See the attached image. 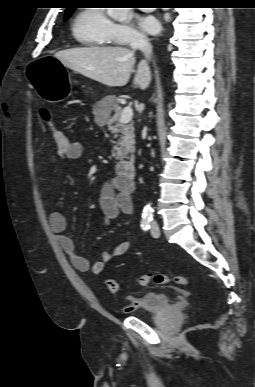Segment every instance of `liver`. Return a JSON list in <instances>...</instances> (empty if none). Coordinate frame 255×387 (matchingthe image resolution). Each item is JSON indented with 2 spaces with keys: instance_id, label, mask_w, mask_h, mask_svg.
Returning a JSON list of instances; mask_svg holds the SVG:
<instances>
[{
  "instance_id": "6515ba94",
  "label": "liver",
  "mask_w": 255,
  "mask_h": 387,
  "mask_svg": "<svg viewBox=\"0 0 255 387\" xmlns=\"http://www.w3.org/2000/svg\"><path fill=\"white\" fill-rule=\"evenodd\" d=\"M64 66L109 87H122L130 79L136 62L135 52L126 47H81L55 53ZM151 73L146 60H141L133 85L148 87Z\"/></svg>"
}]
</instances>
